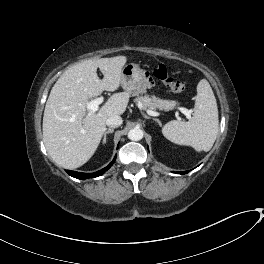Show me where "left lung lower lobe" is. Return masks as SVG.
I'll list each match as a JSON object with an SVG mask.
<instances>
[{
    "label": "left lung lower lobe",
    "instance_id": "1",
    "mask_svg": "<svg viewBox=\"0 0 264 264\" xmlns=\"http://www.w3.org/2000/svg\"><path fill=\"white\" fill-rule=\"evenodd\" d=\"M189 171H184V172H177V173H179V174H186V173H188Z\"/></svg>",
    "mask_w": 264,
    "mask_h": 264
}]
</instances>
